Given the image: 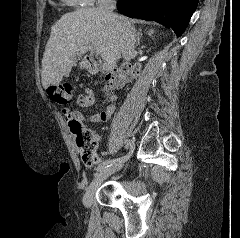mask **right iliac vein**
<instances>
[{"label":"right iliac vein","instance_id":"obj_1","mask_svg":"<svg viewBox=\"0 0 240 238\" xmlns=\"http://www.w3.org/2000/svg\"><path fill=\"white\" fill-rule=\"evenodd\" d=\"M124 163L125 161L118 162L112 166H109L101 170L100 173L96 175V177L93 179V181L90 183V185L86 189L85 195L83 197V204L85 207L89 208L91 206L93 196L97 188L102 184V182L113 173L119 171L123 167Z\"/></svg>","mask_w":240,"mask_h":238}]
</instances>
